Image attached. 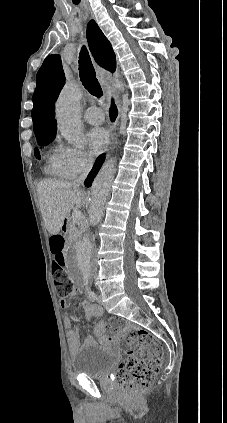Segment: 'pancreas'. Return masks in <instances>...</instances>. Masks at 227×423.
Listing matches in <instances>:
<instances>
[{
    "label": "pancreas",
    "instance_id": "pancreas-1",
    "mask_svg": "<svg viewBox=\"0 0 227 423\" xmlns=\"http://www.w3.org/2000/svg\"><path fill=\"white\" fill-rule=\"evenodd\" d=\"M83 225L81 221H75V219H70L69 225H68V239H78L80 235H82L83 231Z\"/></svg>",
    "mask_w": 227,
    "mask_h": 423
}]
</instances>
